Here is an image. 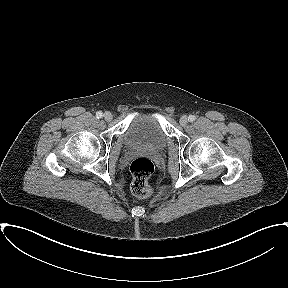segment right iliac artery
Returning a JSON list of instances; mask_svg holds the SVG:
<instances>
[{
    "label": "right iliac artery",
    "mask_w": 288,
    "mask_h": 288,
    "mask_svg": "<svg viewBox=\"0 0 288 288\" xmlns=\"http://www.w3.org/2000/svg\"><path fill=\"white\" fill-rule=\"evenodd\" d=\"M103 116V113L101 112V111H98L97 113H96V117L97 118H101Z\"/></svg>",
    "instance_id": "right-iliac-artery-1"
}]
</instances>
